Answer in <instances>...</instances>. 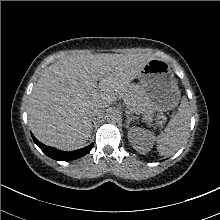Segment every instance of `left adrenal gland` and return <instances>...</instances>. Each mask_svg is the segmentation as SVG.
I'll return each mask as SVG.
<instances>
[{"label": "left adrenal gland", "instance_id": "a2214340", "mask_svg": "<svg viewBox=\"0 0 220 220\" xmlns=\"http://www.w3.org/2000/svg\"><path fill=\"white\" fill-rule=\"evenodd\" d=\"M133 120V117L129 114L126 115V128H129L130 122Z\"/></svg>", "mask_w": 220, "mask_h": 220}]
</instances>
